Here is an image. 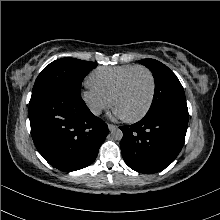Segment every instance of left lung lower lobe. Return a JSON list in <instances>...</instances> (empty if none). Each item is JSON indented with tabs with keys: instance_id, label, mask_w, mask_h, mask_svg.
Segmentation results:
<instances>
[{
	"instance_id": "0a47b994",
	"label": "left lung lower lobe",
	"mask_w": 220,
	"mask_h": 220,
	"mask_svg": "<svg viewBox=\"0 0 220 220\" xmlns=\"http://www.w3.org/2000/svg\"><path fill=\"white\" fill-rule=\"evenodd\" d=\"M188 120L170 113L144 117L139 122L120 126L121 151L125 163L141 173H157L169 166L180 153Z\"/></svg>"
}]
</instances>
